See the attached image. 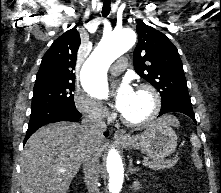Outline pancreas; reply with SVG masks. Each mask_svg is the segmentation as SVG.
Listing matches in <instances>:
<instances>
[{
	"label": "pancreas",
	"mask_w": 221,
	"mask_h": 193,
	"mask_svg": "<svg viewBox=\"0 0 221 193\" xmlns=\"http://www.w3.org/2000/svg\"><path fill=\"white\" fill-rule=\"evenodd\" d=\"M150 163L149 168L153 170H163L173 167L177 163V159L173 160H158V161H147Z\"/></svg>",
	"instance_id": "cf45deb5"
}]
</instances>
